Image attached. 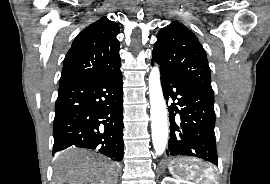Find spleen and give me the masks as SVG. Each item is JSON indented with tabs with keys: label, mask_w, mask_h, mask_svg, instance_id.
<instances>
[{
	"label": "spleen",
	"mask_w": 270,
	"mask_h": 184,
	"mask_svg": "<svg viewBox=\"0 0 270 184\" xmlns=\"http://www.w3.org/2000/svg\"><path fill=\"white\" fill-rule=\"evenodd\" d=\"M186 170L183 172L182 176H174L179 180L187 181L196 180L200 184H217L216 174L212 167L200 166L196 163L186 162ZM196 184L194 182H191Z\"/></svg>",
	"instance_id": "spleen-1"
}]
</instances>
